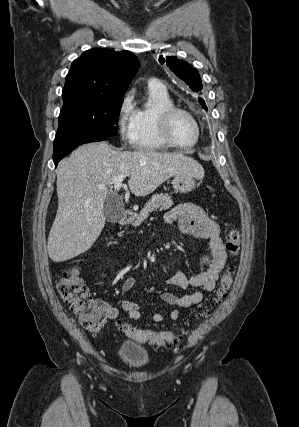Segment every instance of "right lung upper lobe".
<instances>
[{
    "label": "right lung upper lobe",
    "instance_id": "right-lung-upper-lobe-1",
    "mask_svg": "<svg viewBox=\"0 0 299 427\" xmlns=\"http://www.w3.org/2000/svg\"><path fill=\"white\" fill-rule=\"evenodd\" d=\"M138 68L137 57L129 51H85L70 67L63 100L84 94L123 96Z\"/></svg>",
    "mask_w": 299,
    "mask_h": 427
}]
</instances>
